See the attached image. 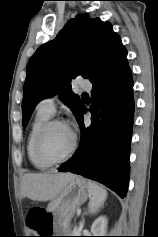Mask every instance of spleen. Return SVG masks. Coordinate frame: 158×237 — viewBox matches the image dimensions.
<instances>
[{
	"instance_id": "1",
	"label": "spleen",
	"mask_w": 158,
	"mask_h": 237,
	"mask_svg": "<svg viewBox=\"0 0 158 237\" xmlns=\"http://www.w3.org/2000/svg\"><path fill=\"white\" fill-rule=\"evenodd\" d=\"M88 186L91 192V200L89 202V211L94 214L107 198V191L102 186L95 182L88 181Z\"/></svg>"
}]
</instances>
